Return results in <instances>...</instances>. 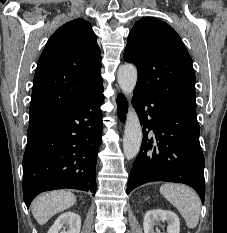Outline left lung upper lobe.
<instances>
[{
	"mask_svg": "<svg viewBox=\"0 0 227 233\" xmlns=\"http://www.w3.org/2000/svg\"><path fill=\"white\" fill-rule=\"evenodd\" d=\"M124 60L137 66L135 89L196 117L192 59L168 24L150 17L137 21L129 34Z\"/></svg>",
	"mask_w": 227,
	"mask_h": 233,
	"instance_id": "left-lung-upper-lobe-1",
	"label": "left lung upper lobe"
}]
</instances>
